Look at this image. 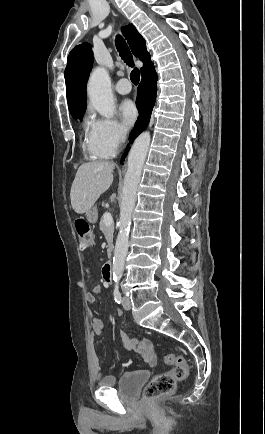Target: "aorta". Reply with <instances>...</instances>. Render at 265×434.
<instances>
[{
    "label": "aorta",
    "instance_id": "762f6f07",
    "mask_svg": "<svg viewBox=\"0 0 265 434\" xmlns=\"http://www.w3.org/2000/svg\"><path fill=\"white\" fill-rule=\"evenodd\" d=\"M87 94L95 110L104 118H113L115 112L110 76L105 68H95L88 80ZM150 132H143L136 138L128 156V168L124 180L120 204L119 232L112 262V276L119 282L123 276L128 252L131 216L135 208L137 188L141 180L143 164L150 146Z\"/></svg>",
    "mask_w": 265,
    "mask_h": 434
}]
</instances>
